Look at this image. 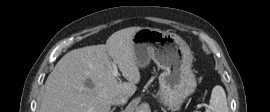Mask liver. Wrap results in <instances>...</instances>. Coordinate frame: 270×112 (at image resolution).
Instances as JSON below:
<instances>
[{"mask_svg": "<svg viewBox=\"0 0 270 112\" xmlns=\"http://www.w3.org/2000/svg\"><path fill=\"white\" fill-rule=\"evenodd\" d=\"M141 27L114 32L106 44L66 53L45 82L40 112H110L113 98L131 97L140 81L133 36ZM128 82L113 75V62Z\"/></svg>", "mask_w": 270, "mask_h": 112, "instance_id": "liver-1", "label": "liver"}]
</instances>
